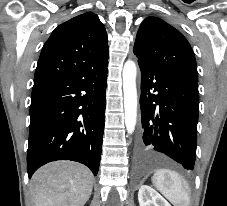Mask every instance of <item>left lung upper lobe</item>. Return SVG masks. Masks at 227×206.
Listing matches in <instances>:
<instances>
[{
	"label": "left lung upper lobe",
	"instance_id": "obj_1",
	"mask_svg": "<svg viewBox=\"0 0 227 206\" xmlns=\"http://www.w3.org/2000/svg\"><path fill=\"white\" fill-rule=\"evenodd\" d=\"M134 54L142 64L198 80L190 44L177 29L160 18L148 17L141 23Z\"/></svg>",
	"mask_w": 227,
	"mask_h": 206
}]
</instances>
